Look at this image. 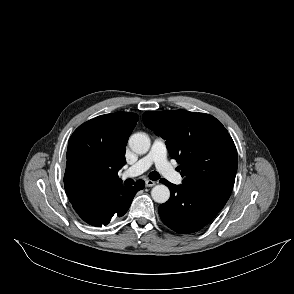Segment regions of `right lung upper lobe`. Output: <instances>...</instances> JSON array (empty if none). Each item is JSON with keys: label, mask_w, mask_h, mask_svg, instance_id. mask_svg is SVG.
<instances>
[{"label": "right lung upper lobe", "mask_w": 294, "mask_h": 294, "mask_svg": "<svg viewBox=\"0 0 294 294\" xmlns=\"http://www.w3.org/2000/svg\"><path fill=\"white\" fill-rule=\"evenodd\" d=\"M137 121L135 113L105 114L71 135L64 185L73 208L94 203L101 193L122 186L117 173L126 163L125 146Z\"/></svg>", "instance_id": "cb5924a9"}]
</instances>
